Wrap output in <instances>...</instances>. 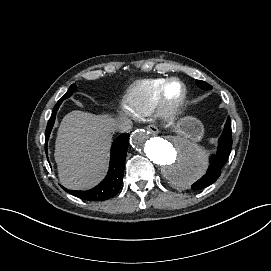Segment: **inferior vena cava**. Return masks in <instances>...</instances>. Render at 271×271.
<instances>
[{
  "instance_id": "obj_1",
  "label": "inferior vena cava",
  "mask_w": 271,
  "mask_h": 271,
  "mask_svg": "<svg viewBox=\"0 0 271 271\" xmlns=\"http://www.w3.org/2000/svg\"><path fill=\"white\" fill-rule=\"evenodd\" d=\"M131 124L132 121L130 119L119 121L115 124V130L120 133L129 132L131 129Z\"/></svg>"
}]
</instances>
